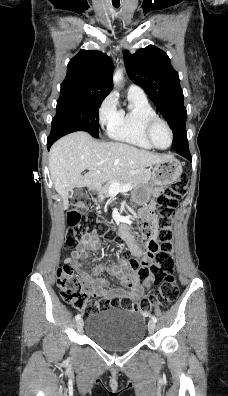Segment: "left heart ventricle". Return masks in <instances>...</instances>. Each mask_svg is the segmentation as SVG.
Wrapping results in <instances>:
<instances>
[{
    "label": "left heart ventricle",
    "mask_w": 228,
    "mask_h": 396,
    "mask_svg": "<svg viewBox=\"0 0 228 396\" xmlns=\"http://www.w3.org/2000/svg\"><path fill=\"white\" fill-rule=\"evenodd\" d=\"M152 138L159 147H166L170 142V135L167 128L162 123H157L152 130Z\"/></svg>",
    "instance_id": "1"
}]
</instances>
